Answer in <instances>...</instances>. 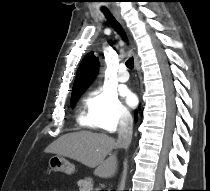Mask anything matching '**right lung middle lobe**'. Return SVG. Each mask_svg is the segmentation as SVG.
Masks as SVG:
<instances>
[{
    "label": "right lung middle lobe",
    "instance_id": "dd1d6c3e",
    "mask_svg": "<svg viewBox=\"0 0 210 191\" xmlns=\"http://www.w3.org/2000/svg\"><path fill=\"white\" fill-rule=\"evenodd\" d=\"M78 97H79V96H76V97H74V98L71 99V106H72V107H74V105H75V103H76Z\"/></svg>",
    "mask_w": 210,
    "mask_h": 191
}]
</instances>
